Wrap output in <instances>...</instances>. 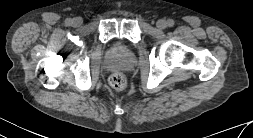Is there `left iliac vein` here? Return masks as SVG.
<instances>
[{"label":"left iliac vein","instance_id":"1","mask_svg":"<svg viewBox=\"0 0 253 138\" xmlns=\"http://www.w3.org/2000/svg\"><path fill=\"white\" fill-rule=\"evenodd\" d=\"M156 26L158 29L163 30L167 27V22L163 19H160L156 22Z\"/></svg>","mask_w":253,"mask_h":138}]
</instances>
